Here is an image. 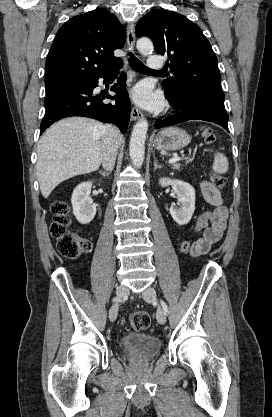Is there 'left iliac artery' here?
I'll return each instance as SVG.
<instances>
[{
    "label": "left iliac artery",
    "mask_w": 272,
    "mask_h": 417,
    "mask_svg": "<svg viewBox=\"0 0 272 417\" xmlns=\"http://www.w3.org/2000/svg\"><path fill=\"white\" fill-rule=\"evenodd\" d=\"M161 305L163 307V311L165 313V315L168 313V307L166 305V303L164 301L161 300Z\"/></svg>",
    "instance_id": "44dca946"
}]
</instances>
